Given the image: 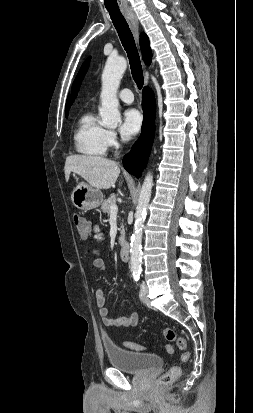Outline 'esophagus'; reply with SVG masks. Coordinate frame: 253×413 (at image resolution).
<instances>
[{
	"mask_svg": "<svg viewBox=\"0 0 253 413\" xmlns=\"http://www.w3.org/2000/svg\"><path fill=\"white\" fill-rule=\"evenodd\" d=\"M124 15H125L126 19L128 20L132 30H133V33H134V36H135L136 40L138 41V38H139V22H138L137 16L135 15V13L133 11H125ZM144 79H145V85H147L149 78H148V72L146 70L144 72Z\"/></svg>",
	"mask_w": 253,
	"mask_h": 413,
	"instance_id": "esophagus-1",
	"label": "esophagus"
}]
</instances>
